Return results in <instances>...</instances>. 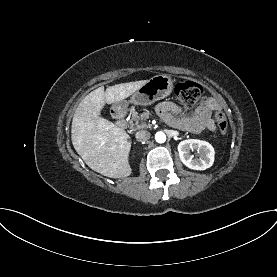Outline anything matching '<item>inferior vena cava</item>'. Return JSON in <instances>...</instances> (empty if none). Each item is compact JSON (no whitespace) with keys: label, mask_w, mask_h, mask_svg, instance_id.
Here are the masks:
<instances>
[{"label":"inferior vena cava","mask_w":277,"mask_h":277,"mask_svg":"<svg viewBox=\"0 0 277 277\" xmlns=\"http://www.w3.org/2000/svg\"><path fill=\"white\" fill-rule=\"evenodd\" d=\"M135 137L138 141H146L150 139V132L146 130H141L136 132Z\"/></svg>","instance_id":"1"}]
</instances>
